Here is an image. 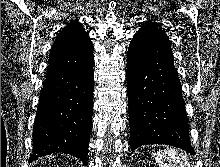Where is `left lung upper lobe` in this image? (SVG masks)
I'll return each instance as SVG.
<instances>
[{"label": "left lung upper lobe", "instance_id": "1", "mask_svg": "<svg viewBox=\"0 0 220 167\" xmlns=\"http://www.w3.org/2000/svg\"><path fill=\"white\" fill-rule=\"evenodd\" d=\"M129 49L140 55H157L173 59L169 38L155 22L142 25L134 35Z\"/></svg>", "mask_w": 220, "mask_h": 167}]
</instances>
